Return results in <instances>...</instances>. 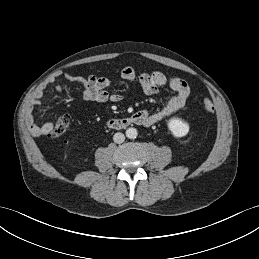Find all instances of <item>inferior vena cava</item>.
<instances>
[{"label": "inferior vena cava", "instance_id": "obj_1", "mask_svg": "<svg viewBox=\"0 0 259 259\" xmlns=\"http://www.w3.org/2000/svg\"><path fill=\"white\" fill-rule=\"evenodd\" d=\"M113 140H114L115 143L121 144V143L124 142L125 136H124L123 133L117 132V133L114 134Z\"/></svg>", "mask_w": 259, "mask_h": 259}]
</instances>
